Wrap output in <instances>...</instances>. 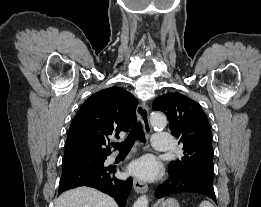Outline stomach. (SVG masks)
Returning a JSON list of instances; mask_svg holds the SVG:
<instances>
[{"label":"stomach","instance_id":"1","mask_svg":"<svg viewBox=\"0 0 261 207\" xmlns=\"http://www.w3.org/2000/svg\"><path fill=\"white\" fill-rule=\"evenodd\" d=\"M155 207H180L179 203L173 199V198H168L165 200L159 201Z\"/></svg>","mask_w":261,"mask_h":207}]
</instances>
